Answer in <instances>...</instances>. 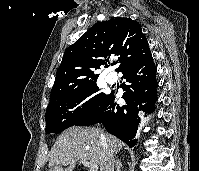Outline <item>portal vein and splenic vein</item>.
Instances as JSON below:
<instances>
[{"label":"portal vein and splenic vein","mask_w":199,"mask_h":171,"mask_svg":"<svg viewBox=\"0 0 199 171\" xmlns=\"http://www.w3.org/2000/svg\"><path fill=\"white\" fill-rule=\"evenodd\" d=\"M84 166L89 168V171H98V165L94 162H89L87 160L80 161Z\"/></svg>","instance_id":"1"}]
</instances>
